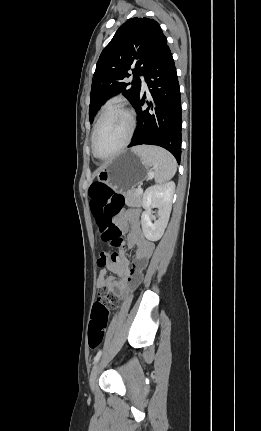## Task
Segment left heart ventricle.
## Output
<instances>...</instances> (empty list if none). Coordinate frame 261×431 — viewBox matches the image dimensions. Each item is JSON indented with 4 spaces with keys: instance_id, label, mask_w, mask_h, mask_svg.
I'll return each instance as SVG.
<instances>
[{
    "instance_id": "b2bd125f",
    "label": "left heart ventricle",
    "mask_w": 261,
    "mask_h": 431,
    "mask_svg": "<svg viewBox=\"0 0 261 431\" xmlns=\"http://www.w3.org/2000/svg\"><path fill=\"white\" fill-rule=\"evenodd\" d=\"M129 130V121L125 113L119 110L108 112L99 127L96 136V151L100 156H107L116 151L124 142Z\"/></svg>"
}]
</instances>
